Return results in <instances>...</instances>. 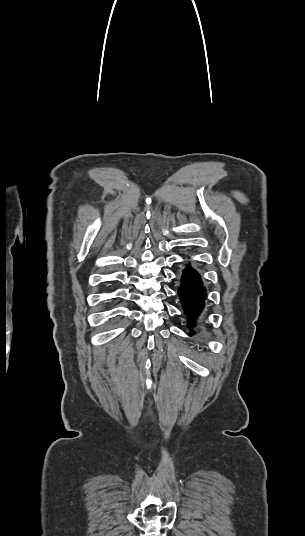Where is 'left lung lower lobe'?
I'll list each match as a JSON object with an SVG mask.
<instances>
[{"label": "left lung lower lobe", "instance_id": "1", "mask_svg": "<svg viewBox=\"0 0 305 536\" xmlns=\"http://www.w3.org/2000/svg\"><path fill=\"white\" fill-rule=\"evenodd\" d=\"M205 291L200 274L189 263L182 271L181 286L178 289L183 310L188 318L189 330L196 327V320L204 308ZM189 334L193 335L195 332L191 331Z\"/></svg>", "mask_w": 305, "mask_h": 536}]
</instances>
